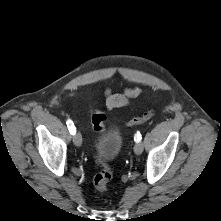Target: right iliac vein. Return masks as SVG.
Returning <instances> with one entry per match:
<instances>
[{
    "label": "right iliac vein",
    "instance_id": "63e3f726",
    "mask_svg": "<svg viewBox=\"0 0 221 221\" xmlns=\"http://www.w3.org/2000/svg\"><path fill=\"white\" fill-rule=\"evenodd\" d=\"M73 142L76 146H81L82 144V136L79 132H77L76 134H74L73 136Z\"/></svg>",
    "mask_w": 221,
    "mask_h": 221
}]
</instances>
